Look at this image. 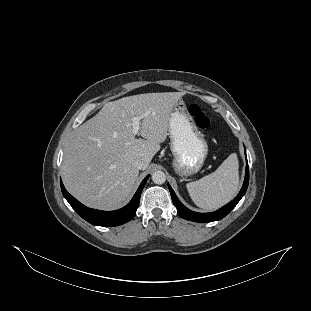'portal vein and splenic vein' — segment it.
Instances as JSON below:
<instances>
[{
    "mask_svg": "<svg viewBox=\"0 0 311 311\" xmlns=\"http://www.w3.org/2000/svg\"><path fill=\"white\" fill-rule=\"evenodd\" d=\"M141 119H143V116H139V117L134 116L131 119L132 120V123H131V125H132V132H133L134 135L138 134V132L140 130V121H141Z\"/></svg>",
    "mask_w": 311,
    "mask_h": 311,
    "instance_id": "obj_1",
    "label": "portal vein and splenic vein"
}]
</instances>
